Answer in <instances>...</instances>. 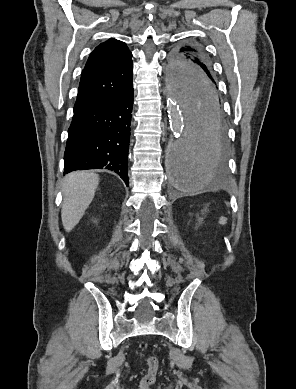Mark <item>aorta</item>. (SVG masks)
I'll use <instances>...</instances> for the list:
<instances>
[{
  "label": "aorta",
  "instance_id": "obj_1",
  "mask_svg": "<svg viewBox=\"0 0 296 389\" xmlns=\"http://www.w3.org/2000/svg\"><path fill=\"white\" fill-rule=\"evenodd\" d=\"M167 111L172 137L166 147L171 189H206L213 178L219 149L218 91L204 72L166 67Z\"/></svg>",
  "mask_w": 296,
  "mask_h": 389
}]
</instances>
